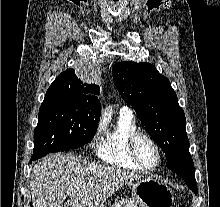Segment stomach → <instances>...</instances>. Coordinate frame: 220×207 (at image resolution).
Instances as JSON below:
<instances>
[{
  "label": "stomach",
  "mask_w": 220,
  "mask_h": 207,
  "mask_svg": "<svg viewBox=\"0 0 220 207\" xmlns=\"http://www.w3.org/2000/svg\"><path fill=\"white\" fill-rule=\"evenodd\" d=\"M131 198L116 202L113 207H172L174 195L163 181L145 176L131 184Z\"/></svg>",
  "instance_id": "stomach-1"
}]
</instances>
